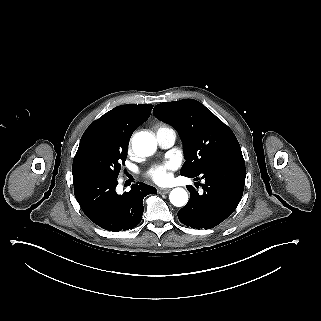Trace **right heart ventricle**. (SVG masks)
Wrapping results in <instances>:
<instances>
[{
	"label": "right heart ventricle",
	"mask_w": 321,
	"mask_h": 321,
	"mask_svg": "<svg viewBox=\"0 0 321 321\" xmlns=\"http://www.w3.org/2000/svg\"><path fill=\"white\" fill-rule=\"evenodd\" d=\"M158 131H161V130H164V129H167L168 127L161 121H156L155 123Z\"/></svg>",
	"instance_id": "obj_1"
}]
</instances>
